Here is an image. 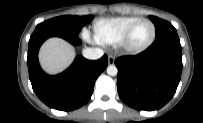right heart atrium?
I'll return each mask as SVG.
<instances>
[{
	"label": "right heart atrium",
	"mask_w": 203,
	"mask_h": 123,
	"mask_svg": "<svg viewBox=\"0 0 203 123\" xmlns=\"http://www.w3.org/2000/svg\"><path fill=\"white\" fill-rule=\"evenodd\" d=\"M83 37L86 39V40H90V35L87 31H84L83 32Z\"/></svg>",
	"instance_id": "1"
}]
</instances>
